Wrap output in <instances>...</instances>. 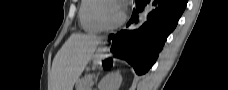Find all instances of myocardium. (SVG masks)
Instances as JSON below:
<instances>
[{
  "label": "myocardium",
  "instance_id": "obj_1",
  "mask_svg": "<svg viewBox=\"0 0 228 90\" xmlns=\"http://www.w3.org/2000/svg\"><path fill=\"white\" fill-rule=\"evenodd\" d=\"M105 3H115V4L119 5L118 1H116V0H98V3L94 9V18H95L96 23L103 30H112V29L118 28L119 26H121L124 23V21L126 19V14H125L124 10H122L120 18L115 23L106 24L100 15L101 8Z\"/></svg>",
  "mask_w": 228,
  "mask_h": 90
}]
</instances>
